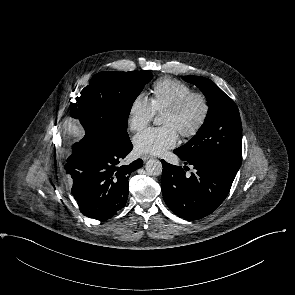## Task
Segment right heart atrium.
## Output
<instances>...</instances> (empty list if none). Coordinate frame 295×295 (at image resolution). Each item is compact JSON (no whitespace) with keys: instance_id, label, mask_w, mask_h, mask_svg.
<instances>
[{"instance_id":"1","label":"right heart atrium","mask_w":295,"mask_h":295,"mask_svg":"<svg viewBox=\"0 0 295 295\" xmlns=\"http://www.w3.org/2000/svg\"><path fill=\"white\" fill-rule=\"evenodd\" d=\"M155 111L149 98L144 94H137L130 102L128 107V126L138 132L144 129L153 119Z\"/></svg>"}]
</instances>
